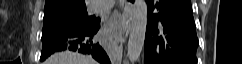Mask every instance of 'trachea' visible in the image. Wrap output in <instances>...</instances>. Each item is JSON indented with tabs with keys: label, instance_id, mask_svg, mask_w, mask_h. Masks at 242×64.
Returning a JSON list of instances; mask_svg holds the SVG:
<instances>
[{
	"label": "trachea",
	"instance_id": "1",
	"mask_svg": "<svg viewBox=\"0 0 242 64\" xmlns=\"http://www.w3.org/2000/svg\"><path fill=\"white\" fill-rule=\"evenodd\" d=\"M130 2H134V0H129Z\"/></svg>",
	"mask_w": 242,
	"mask_h": 64
}]
</instances>
